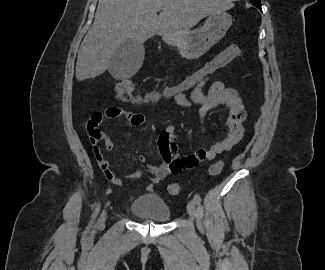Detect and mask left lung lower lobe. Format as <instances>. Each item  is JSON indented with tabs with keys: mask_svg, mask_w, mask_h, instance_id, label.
<instances>
[{
	"mask_svg": "<svg viewBox=\"0 0 325 270\" xmlns=\"http://www.w3.org/2000/svg\"><path fill=\"white\" fill-rule=\"evenodd\" d=\"M257 8H259L261 10V6H256Z\"/></svg>",
	"mask_w": 325,
	"mask_h": 270,
	"instance_id": "1",
	"label": "left lung lower lobe"
}]
</instances>
